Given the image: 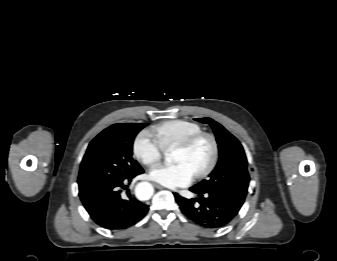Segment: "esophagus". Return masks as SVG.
<instances>
[{"label":"esophagus","instance_id":"esophagus-1","mask_svg":"<svg viewBox=\"0 0 337 261\" xmlns=\"http://www.w3.org/2000/svg\"><path fill=\"white\" fill-rule=\"evenodd\" d=\"M154 186L157 188V189H163L164 187L160 184H157V183H154Z\"/></svg>","mask_w":337,"mask_h":261}]
</instances>
